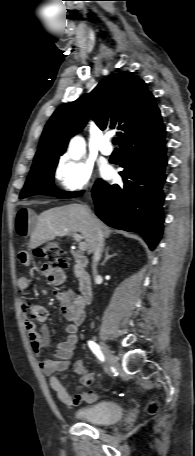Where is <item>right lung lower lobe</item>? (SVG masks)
<instances>
[{"label": "right lung lower lobe", "mask_w": 195, "mask_h": 456, "mask_svg": "<svg viewBox=\"0 0 195 456\" xmlns=\"http://www.w3.org/2000/svg\"><path fill=\"white\" fill-rule=\"evenodd\" d=\"M157 130L141 133L121 146L122 186L98 179L92 191L99 218L111 227L141 234L152 250L163 230L162 184L167 164L166 131Z\"/></svg>", "instance_id": "98d812e1"}]
</instances>
